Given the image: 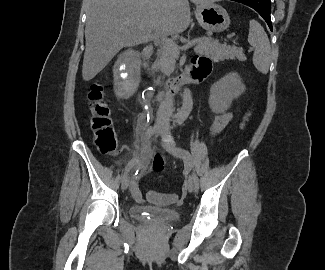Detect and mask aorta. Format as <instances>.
I'll list each match as a JSON object with an SVG mask.
<instances>
[{
	"label": "aorta",
	"mask_w": 325,
	"mask_h": 270,
	"mask_svg": "<svg viewBox=\"0 0 325 270\" xmlns=\"http://www.w3.org/2000/svg\"><path fill=\"white\" fill-rule=\"evenodd\" d=\"M193 108V99L191 92L188 88L183 91V103L181 109L178 111L177 116L180 119H185L188 117Z\"/></svg>",
	"instance_id": "762f6f07"
}]
</instances>
